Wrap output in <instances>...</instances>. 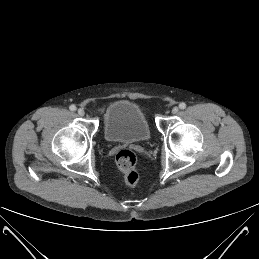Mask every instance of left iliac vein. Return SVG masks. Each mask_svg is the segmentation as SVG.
<instances>
[{"mask_svg": "<svg viewBox=\"0 0 259 259\" xmlns=\"http://www.w3.org/2000/svg\"><path fill=\"white\" fill-rule=\"evenodd\" d=\"M178 111H179L178 107H173V109H172L173 114H177Z\"/></svg>", "mask_w": 259, "mask_h": 259, "instance_id": "obj_1", "label": "left iliac vein"}]
</instances>
